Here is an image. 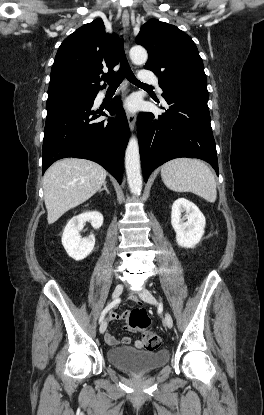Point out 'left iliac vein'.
<instances>
[{
	"label": "left iliac vein",
	"instance_id": "left-iliac-vein-1",
	"mask_svg": "<svg viewBox=\"0 0 264 415\" xmlns=\"http://www.w3.org/2000/svg\"><path fill=\"white\" fill-rule=\"evenodd\" d=\"M139 296L145 302H148V303H151V304H157V300L155 299V297L146 288L142 289V291L139 293ZM164 321H165V324L167 325L168 328L173 327L172 316L167 311H165Z\"/></svg>",
	"mask_w": 264,
	"mask_h": 415
}]
</instances>
